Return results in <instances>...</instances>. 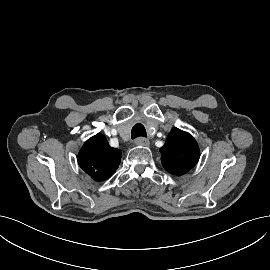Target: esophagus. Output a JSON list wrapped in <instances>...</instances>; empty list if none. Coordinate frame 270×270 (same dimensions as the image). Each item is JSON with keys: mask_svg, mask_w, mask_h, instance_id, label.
<instances>
[{"mask_svg": "<svg viewBox=\"0 0 270 270\" xmlns=\"http://www.w3.org/2000/svg\"><path fill=\"white\" fill-rule=\"evenodd\" d=\"M135 144L138 146H143V147H147L149 146V140L144 138V137H139L135 140Z\"/></svg>", "mask_w": 270, "mask_h": 270, "instance_id": "esophagus-1", "label": "esophagus"}]
</instances>
